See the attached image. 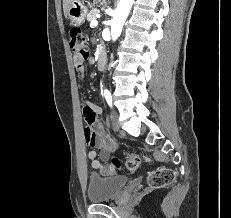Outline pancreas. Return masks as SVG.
Instances as JSON below:
<instances>
[{"label": "pancreas", "mask_w": 231, "mask_h": 218, "mask_svg": "<svg viewBox=\"0 0 231 218\" xmlns=\"http://www.w3.org/2000/svg\"><path fill=\"white\" fill-rule=\"evenodd\" d=\"M99 9L97 8H93L87 15V20L89 22L93 21V20H96V14L99 13Z\"/></svg>", "instance_id": "cf45deb5"}]
</instances>
